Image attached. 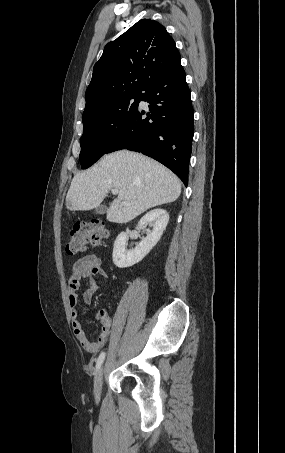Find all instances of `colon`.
I'll use <instances>...</instances> for the list:
<instances>
[{
    "label": "colon",
    "instance_id": "1",
    "mask_svg": "<svg viewBox=\"0 0 285 453\" xmlns=\"http://www.w3.org/2000/svg\"><path fill=\"white\" fill-rule=\"evenodd\" d=\"M107 233L104 222L100 220L77 223L69 234L66 252L69 255H76L83 252L87 245L98 246Z\"/></svg>",
    "mask_w": 285,
    "mask_h": 453
}]
</instances>
